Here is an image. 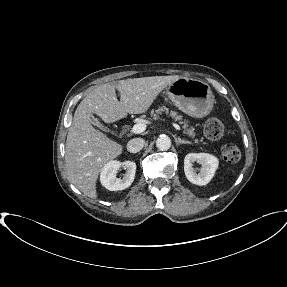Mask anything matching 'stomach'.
Wrapping results in <instances>:
<instances>
[{"label": "stomach", "mask_w": 287, "mask_h": 287, "mask_svg": "<svg viewBox=\"0 0 287 287\" xmlns=\"http://www.w3.org/2000/svg\"><path fill=\"white\" fill-rule=\"evenodd\" d=\"M164 93L181 111L197 118L208 115L214 105L210 86L198 79L180 77Z\"/></svg>", "instance_id": "obj_1"}]
</instances>
